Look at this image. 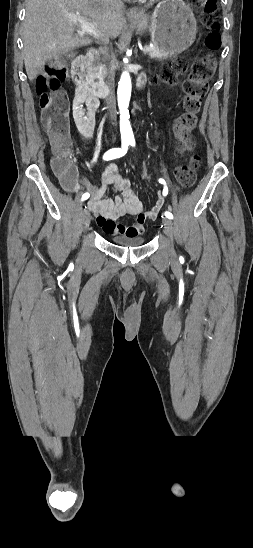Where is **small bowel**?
I'll return each mask as SVG.
<instances>
[{"label":"small bowel","instance_id":"small-bowel-1","mask_svg":"<svg viewBox=\"0 0 253 548\" xmlns=\"http://www.w3.org/2000/svg\"><path fill=\"white\" fill-rule=\"evenodd\" d=\"M99 101L88 92L77 88L72 101V117L77 131L87 140L92 139L96 130V115ZM74 174L61 179L63 188L69 192H78L85 189L91 195L88 207L96 217L97 224L109 234L140 235L145 231L147 218H155L164 204L159 199L152 210L145 211L136 192L132 189L128 178L123 176L115 163L110 162L101 171L100 183L96 186L78 177L76 167ZM177 189H181L177 186ZM113 190L117 194L108 198ZM136 216L133 225L116 223L124 215Z\"/></svg>","mask_w":253,"mask_h":548}]
</instances>
